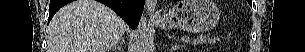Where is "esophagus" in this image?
Instances as JSON below:
<instances>
[{"label":"esophagus","instance_id":"esophagus-1","mask_svg":"<svg viewBox=\"0 0 305 52\" xmlns=\"http://www.w3.org/2000/svg\"><path fill=\"white\" fill-rule=\"evenodd\" d=\"M156 0H146V10L151 15V17L155 16V7H156Z\"/></svg>","mask_w":305,"mask_h":52}]
</instances>
